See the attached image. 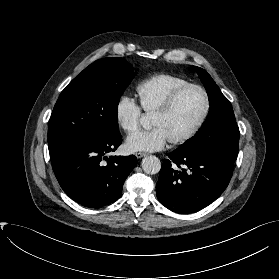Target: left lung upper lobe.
<instances>
[{
    "mask_svg": "<svg viewBox=\"0 0 279 279\" xmlns=\"http://www.w3.org/2000/svg\"><path fill=\"white\" fill-rule=\"evenodd\" d=\"M195 69L206 88L210 110L197 136L189 139L177 151L188 156L213 154L235 162L238 155L239 128L232 105L204 69L196 66Z\"/></svg>",
    "mask_w": 279,
    "mask_h": 279,
    "instance_id": "left-lung-upper-lobe-1",
    "label": "left lung upper lobe"
}]
</instances>
